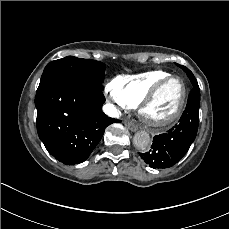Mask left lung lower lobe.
<instances>
[{
    "label": "left lung lower lobe",
    "instance_id": "0a47b994",
    "mask_svg": "<svg viewBox=\"0 0 229 229\" xmlns=\"http://www.w3.org/2000/svg\"><path fill=\"white\" fill-rule=\"evenodd\" d=\"M192 83L186 108L179 120L165 134L154 137L151 150L140 153L142 159L152 168H169L180 161L195 140L199 125L200 89L189 69L184 70Z\"/></svg>",
    "mask_w": 229,
    "mask_h": 229
}]
</instances>
